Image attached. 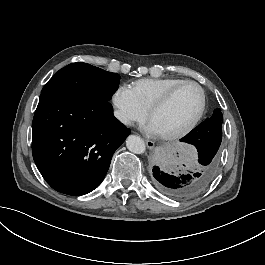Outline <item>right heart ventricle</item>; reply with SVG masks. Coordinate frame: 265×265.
Segmentation results:
<instances>
[{"mask_svg": "<svg viewBox=\"0 0 265 265\" xmlns=\"http://www.w3.org/2000/svg\"><path fill=\"white\" fill-rule=\"evenodd\" d=\"M185 80L180 77L143 78L127 86L135 94L139 103L149 111L150 108L174 85Z\"/></svg>", "mask_w": 265, "mask_h": 265, "instance_id": "e07e8e85", "label": "right heart ventricle"}]
</instances>
